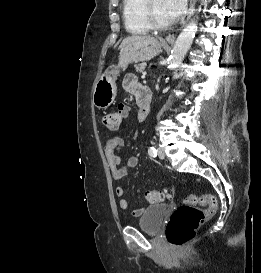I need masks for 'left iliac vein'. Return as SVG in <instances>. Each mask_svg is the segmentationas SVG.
I'll return each instance as SVG.
<instances>
[{"instance_id": "1", "label": "left iliac vein", "mask_w": 261, "mask_h": 273, "mask_svg": "<svg viewBox=\"0 0 261 273\" xmlns=\"http://www.w3.org/2000/svg\"><path fill=\"white\" fill-rule=\"evenodd\" d=\"M157 151H158V157H159L160 159H164V158H165V153H164L163 149L158 148Z\"/></svg>"}]
</instances>
